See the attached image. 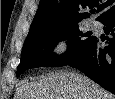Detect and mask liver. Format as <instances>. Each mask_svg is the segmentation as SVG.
I'll list each match as a JSON object with an SVG mask.
<instances>
[{
    "mask_svg": "<svg viewBox=\"0 0 115 99\" xmlns=\"http://www.w3.org/2000/svg\"><path fill=\"white\" fill-rule=\"evenodd\" d=\"M14 99H114V96L86 76L58 72L23 82Z\"/></svg>",
    "mask_w": 115,
    "mask_h": 99,
    "instance_id": "1",
    "label": "liver"
}]
</instances>
